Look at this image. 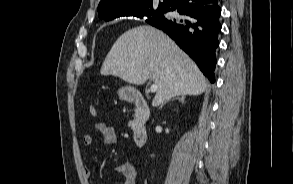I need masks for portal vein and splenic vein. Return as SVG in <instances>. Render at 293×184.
I'll return each mask as SVG.
<instances>
[{
	"label": "portal vein and splenic vein",
	"mask_w": 293,
	"mask_h": 184,
	"mask_svg": "<svg viewBox=\"0 0 293 184\" xmlns=\"http://www.w3.org/2000/svg\"><path fill=\"white\" fill-rule=\"evenodd\" d=\"M157 89H158V85L154 83V84L151 85L149 91L151 93H155L157 91Z\"/></svg>",
	"instance_id": "18ae733b"
}]
</instances>
